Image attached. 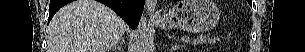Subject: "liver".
Listing matches in <instances>:
<instances>
[{
    "label": "liver",
    "instance_id": "liver-1",
    "mask_svg": "<svg viewBox=\"0 0 305 52\" xmlns=\"http://www.w3.org/2000/svg\"><path fill=\"white\" fill-rule=\"evenodd\" d=\"M126 31L124 21L94 0L62 7L48 27V52H109Z\"/></svg>",
    "mask_w": 305,
    "mask_h": 52
}]
</instances>
